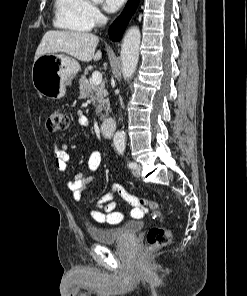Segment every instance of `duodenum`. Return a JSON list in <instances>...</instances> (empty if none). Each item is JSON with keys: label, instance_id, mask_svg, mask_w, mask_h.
<instances>
[{"label": "duodenum", "instance_id": "duodenum-1", "mask_svg": "<svg viewBox=\"0 0 247 296\" xmlns=\"http://www.w3.org/2000/svg\"><path fill=\"white\" fill-rule=\"evenodd\" d=\"M100 129L106 138H111L115 131V122L112 118H105L100 122Z\"/></svg>", "mask_w": 247, "mask_h": 296}]
</instances>
